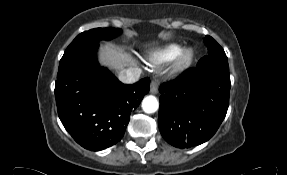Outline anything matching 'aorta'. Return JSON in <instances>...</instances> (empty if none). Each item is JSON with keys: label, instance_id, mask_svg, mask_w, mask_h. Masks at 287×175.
<instances>
[{"label": "aorta", "instance_id": "1", "mask_svg": "<svg viewBox=\"0 0 287 175\" xmlns=\"http://www.w3.org/2000/svg\"><path fill=\"white\" fill-rule=\"evenodd\" d=\"M159 108V102L155 96H147L142 101V109L145 113H154Z\"/></svg>", "mask_w": 287, "mask_h": 175}]
</instances>
